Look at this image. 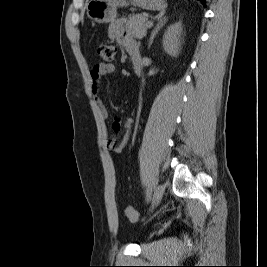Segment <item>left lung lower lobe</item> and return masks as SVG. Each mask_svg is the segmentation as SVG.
<instances>
[{
    "label": "left lung lower lobe",
    "instance_id": "1",
    "mask_svg": "<svg viewBox=\"0 0 267 267\" xmlns=\"http://www.w3.org/2000/svg\"><path fill=\"white\" fill-rule=\"evenodd\" d=\"M203 5L206 4V0H199Z\"/></svg>",
    "mask_w": 267,
    "mask_h": 267
}]
</instances>
